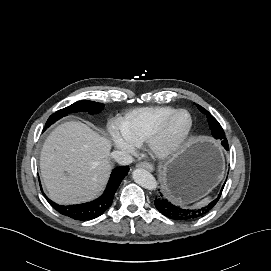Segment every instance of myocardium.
<instances>
[{"label":"myocardium","instance_id":"f54148a6","mask_svg":"<svg viewBox=\"0 0 271 271\" xmlns=\"http://www.w3.org/2000/svg\"><path fill=\"white\" fill-rule=\"evenodd\" d=\"M185 113L189 117V125L183 135L171 139L169 137L170 128L176 117ZM194 128V119L192 114L186 109H177L159 126V128L146 141L148 151L160 159L169 158L178 153L191 138Z\"/></svg>","mask_w":271,"mask_h":271}]
</instances>
